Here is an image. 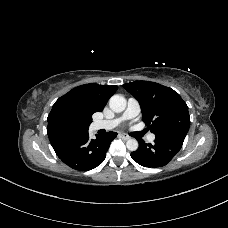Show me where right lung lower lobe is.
<instances>
[{
    "instance_id": "right-lung-lower-lobe-1",
    "label": "right lung lower lobe",
    "mask_w": 228,
    "mask_h": 228,
    "mask_svg": "<svg viewBox=\"0 0 228 228\" xmlns=\"http://www.w3.org/2000/svg\"><path fill=\"white\" fill-rule=\"evenodd\" d=\"M117 133L108 132L96 139H89L87 132H62L49 137L57 156L68 166L79 171H87L100 165L111 141Z\"/></svg>"
}]
</instances>
